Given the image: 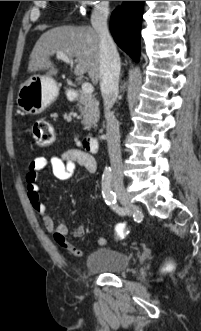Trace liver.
<instances>
[{
	"label": "liver",
	"instance_id": "obj_1",
	"mask_svg": "<svg viewBox=\"0 0 201 331\" xmlns=\"http://www.w3.org/2000/svg\"><path fill=\"white\" fill-rule=\"evenodd\" d=\"M57 53L76 58V76L87 73L94 85L100 81V39L93 28L60 26L48 30L32 50L28 71L47 70L46 76L57 75L58 69L50 60Z\"/></svg>",
	"mask_w": 201,
	"mask_h": 331
}]
</instances>
